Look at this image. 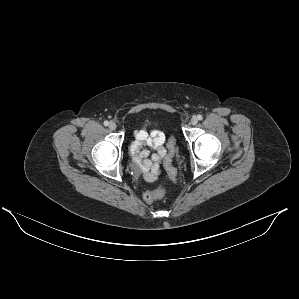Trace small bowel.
<instances>
[{
    "label": "small bowel",
    "instance_id": "c3829d8e",
    "mask_svg": "<svg viewBox=\"0 0 299 299\" xmlns=\"http://www.w3.org/2000/svg\"><path fill=\"white\" fill-rule=\"evenodd\" d=\"M165 136L162 131L142 128L135 132V140L130 147L136 172L147 181H155L160 173L166 150L163 147Z\"/></svg>",
    "mask_w": 299,
    "mask_h": 299
}]
</instances>
